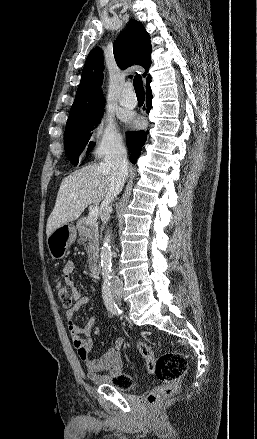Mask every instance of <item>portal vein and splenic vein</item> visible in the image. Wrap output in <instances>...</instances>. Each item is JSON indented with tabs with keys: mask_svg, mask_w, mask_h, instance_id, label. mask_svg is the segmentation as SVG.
Returning a JSON list of instances; mask_svg holds the SVG:
<instances>
[{
	"mask_svg": "<svg viewBox=\"0 0 257 439\" xmlns=\"http://www.w3.org/2000/svg\"><path fill=\"white\" fill-rule=\"evenodd\" d=\"M98 215H99V207L95 206L89 212V215L87 218V224L95 222L98 219Z\"/></svg>",
	"mask_w": 257,
	"mask_h": 439,
	"instance_id": "portal-vein-and-splenic-vein-1",
	"label": "portal vein and splenic vein"
}]
</instances>
